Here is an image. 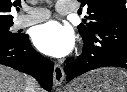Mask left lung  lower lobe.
Returning a JSON list of instances; mask_svg holds the SVG:
<instances>
[{"label": "left lung lower lobe", "mask_w": 127, "mask_h": 92, "mask_svg": "<svg viewBox=\"0 0 127 92\" xmlns=\"http://www.w3.org/2000/svg\"><path fill=\"white\" fill-rule=\"evenodd\" d=\"M83 41L82 54L64 68L67 81L99 67L127 69V30L100 29Z\"/></svg>", "instance_id": "obj_1"}]
</instances>
